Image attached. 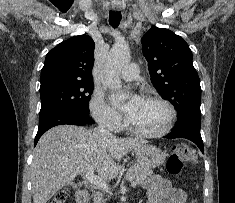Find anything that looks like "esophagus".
<instances>
[{"mask_svg": "<svg viewBox=\"0 0 235 203\" xmlns=\"http://www.w3.org/2000/svg\"><path fill=\"white\" fill-rule=\"evenodd\" d=\"M112 9L114 11H120L121 10V6L119 4H117V3H113L112 4Z\"/></svg>", "mask_w": 235, "mask_h": 203, "instance_id": "esophagus-1", "label": "esophagus"}]
</instances>
